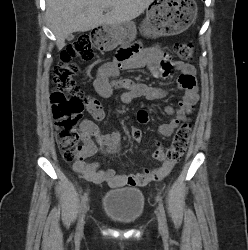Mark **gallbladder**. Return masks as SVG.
Wrapping results in <instances>:
<instances>
[{
    "label": "gallbladder",
    "instance_id": "gallbladder-1",
    "mask_svg": "<svg viewBox=\"0 0 248 250\" xmlns=\"http://www.w3.org/2000/svg\"><path fill=\"white\" fill-rule=\"evenodd\" d=\"M66 39H67L68 41H71V40L74 39V35H73V34H69V35L66 37Z\"/></svg>",
    "mask_w": 248,
    "mask_h": 250
}]
</instances>
